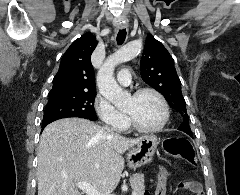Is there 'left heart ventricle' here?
<instances>
[{"label":"left heart ventricle","mask_w":240,"mask_h":195,"mask_svg":"<svg viewBox=\"0 0 240 195\" xmlns=\"http://www.w3.org/2000/svg\"><path fill=\"white\" fill-rule=\"evenodd\" d=\"M123 112L129 113L135 122L142 127L157 125L162 118V107L151 93H145L137 98L126 100Z\"/></svg>","instance_id":"1"}]
</instances>
